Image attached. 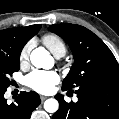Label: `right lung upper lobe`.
<instances>
[{
  "label": "right lung upper lobe",
  "instance_id": "1",
  "mask_svg": "<svg viewBox=\"0 0 119 119\" xmlns=\"http://www.w3.org/2000/svg\"><path fill=\"white\" fill-rule=\"evenodd\" d=\"M41 25L0 30V55L20 56L24 45L40 30Z\"/></svg>",
  "mask_w": 119,
  "mask_h": 119
}]
</instances>
